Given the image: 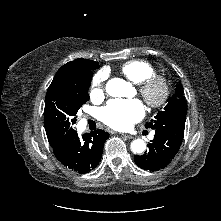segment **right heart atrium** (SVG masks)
Instances as JSON below:
<instances>
[{
    "label": "right heart atrium",
    "instance_id": "obj_1",
    "mask_svg": "<svg viewBox=\"0 0 221 221\" xmlns=\"http://www.w3.org/2000/svg\"><path fill=\"white\" fill-rule=\"evenodd\" d=\"M105 80L106 75L103 72H99L95 75L93 80V89L91 93L93 97H102L104 95Z\"/></svg>",
    "mask_w": 221,
    "mask_h": 221
}]
</instances>
